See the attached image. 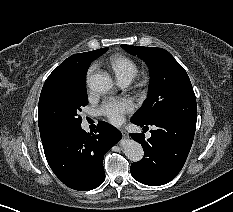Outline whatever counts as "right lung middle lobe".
<instances>
[{
    "mask_svg": "<svg viewBox=\"0 0 233 212\" xmlns=\"http://www.w3.org/2000/svg\"><path fill=\"white\" fill-rule=\"evenodd\" d=\"M107 50L99 49L96 57ZM86 73L63 76L44 84L39 99L38 123L40 132L46 138L57 141L81 126L79 113L88 104Z\"/></svg>",
    "mask_w": 233,
    "mask_h": 212,
    "instance_id": "1",
    "label": "right lung middle lobe"
}]
</instances>
